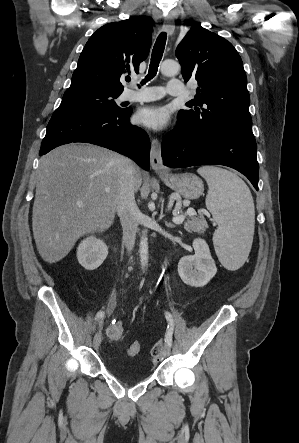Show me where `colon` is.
<instances>
[{"label": "colon", "mask_w": 299, "mask_h": 443, "mask_svg": "<svg viewBox=\"0 0 299 443\" xmlns=\"http://www.w3.org/2000/svg\"><path fill=\"white\" fill-rule=\"evenodd\" d=\"M106 334L111 340H120L124 335V325L120 320H114L107 328ZM141 350V343L138 340L131 342L127 347V354L129 356H136ZM151 358L153 362L157 363L162 359L163 342L158 341L151 349Z\"/></svg>", "instance_id": "5ec220e1"}]
</instances>
